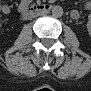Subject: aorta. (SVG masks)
<instances>
[{
	"label": "aorta",
	"mask_w": 91,
	"mask_h": 91,
	"mask_svg": "<svg viewBox=\"0 0 91 91\" xmlns=\"http://www.w3.org/2000/svg\"><path fill=\"white\" fill-rule=\"evenodd\" d=\"M52 15L56 18H60L63 15V8L61 6H54L52 8Z\"/></svg>",
	"instance_id": "762f6f07"
}]
</instances>
